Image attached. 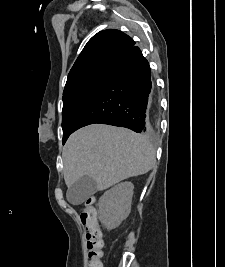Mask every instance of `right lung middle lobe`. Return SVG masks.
Here are the masks:
<instances>
[{"mask_svg": "<svg viewBox=\"0 0 225 267\" xmlns=\"http://www.w3.org/2000/svg\"><path fill=\"white\" fill-rule=\"evenodd\" d=\"M107 73L85 77L65 87L63 91L62 128L63 144L71 133L74 123L91 98L97 87L100 85Z\"/></svg>", "mask_w": 225, "mask_h": 267, "instance_id": "1", "label": "right lung middle lobe"}]
</instances>
